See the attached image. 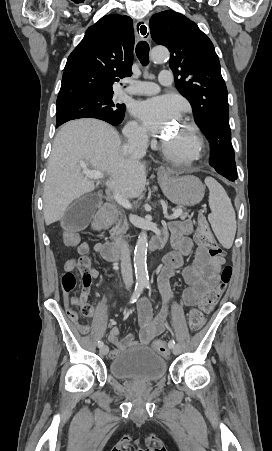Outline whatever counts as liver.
<instances>
[{
	"instance_id": "obj_1",
	"label": "liver",
	"mask_w": 272,
	"mask_h": 451,
	"mask_svg": "<svg viewBox=\"0 0 272 451\" xmlns=\"http://www.w3.org/2000/svg\"><path fill=\"white\" fill-rule=\"evenodd\" d=\"M80 160L111 176L105 186L123 198H139L146 184V162L124 156L115 128L92 118L67 122L60 128L48 162L43 192L46 226L63 218L68 206L96 186L81 172Z\"/></svg>"
}]
</instances>
